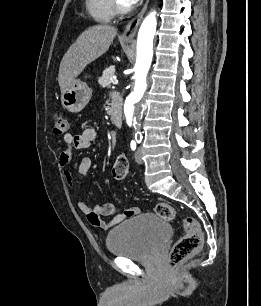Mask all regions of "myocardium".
Masks as SVG:
<instances>
[{
  "instance_id": "myocardium-1",
  "label": "myocardium",
  "mask_w": 261,
  "mask_h": 306,
  "mask_svg": "<svg viewBox=\"0 0 261 306\" xmlns=\"http://www.w3.org/2000/svg\"><path fill=\"white\" fill-rule=\"evenodd\" d=\"M113 10L117 14H125L130 11L129 6L122 5L118 0H111Z\"/></svg>"
}]
</instances>
